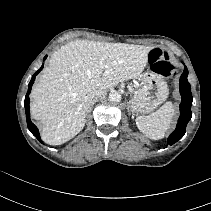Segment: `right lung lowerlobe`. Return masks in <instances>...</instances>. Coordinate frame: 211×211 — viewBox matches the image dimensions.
Listing matches in <instances>:
<instances>
[{"label":"right lung lower lobe","mask_w":211,"mask_h":211,"mask_svg":"<svg viewBox=\"0 0 211 211\" xmlns=\"http://www.w3.org/2000/svg\"><path fill=\"white\" fill-rule=\"evenodd\" d=\"M46 58V57H45ZM44 58V59H45ZM43 66H41V68L36 71V73L32 76L31 81L29 83V87H28V92L26 94L25 97V112H26V120H27V126L29 128V130L32 132V134L42 143L41 139H40V135H39V131L37 129V127L31 122L30 120V111H29V93L31 91L32 85L34 83L35 77L36 75L42 70Z\"/></svg>","instance_id":"1"}]
</instances>
